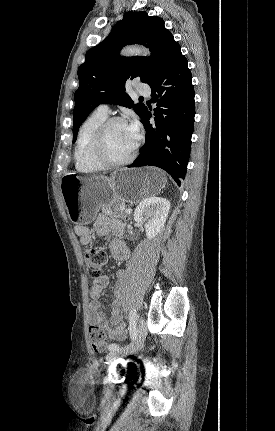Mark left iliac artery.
I'll list each match as a JSON object with an SVG mask.
<instances>
[{"instance_id": "left-iliac-artery-1", "label": "left iliac artery", "mask_w": 275, "mask_h": 431, "mask_svg": "<svg viewBox=\"0 0 275 431\" xmlns=\"http://www.w3.org/2000/svg\"><path fill=\"white\" fill-rule=\"evenodd\" d=\"M137 313L134 310H131L129 313V332H130V338L132 341L135 340L137 336ZM108 349L110 351L119 349V345L112 343L109 345Z\"/></svg>"}]
</instances>
